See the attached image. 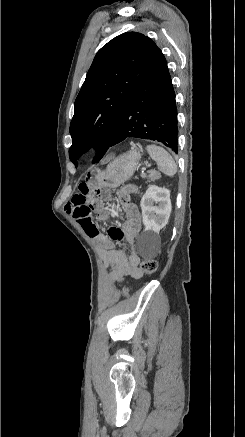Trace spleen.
I'll use <instances>...</instances> for the list:
<instances>
[{
  "label": "spleen",
  "instance_id": "3e777b00",
  "mask_svg": "<svg viewBox=\"0 0 245 437\" xmlns=\"http://www.w3.org/2000/svg\"><path fill=\"white\" fill-rule=\"evenodd\" d=\"M146 150L150 157L156 161L158 169L168 176H173L177 172V164L172 156L162 147L149 144Z\"/></svg>",
  "mask_w": 245,
  "mask_h": 437
}]
</instances>
